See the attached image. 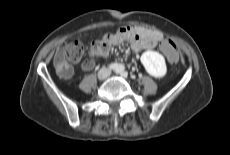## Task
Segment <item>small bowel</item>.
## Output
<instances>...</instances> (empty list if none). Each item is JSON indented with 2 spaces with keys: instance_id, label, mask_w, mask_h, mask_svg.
<instances>
[{
  "instance_id": "obj_1",
  "label": "small bowel",
  "mask_w": 230,
  "mask_h": 155,
  "mask_svg": "<svg viewBox=\"0 0 230 155\" xmlns=\"http://www.w3.org/2000/svg\"><path fill=\"white\" fill-rule=\"evenodd\" d=\"M160 39H166L162 32L141 26L122 27L115 33L106 34L103 37V41L107 43L108 48L128 41L135 52L154 49L157 47V41ZM107 56L108 51L101 57V59H105ZM86 68L89 69L90 66H87Z\"/></svg>"
}]
</instances>
